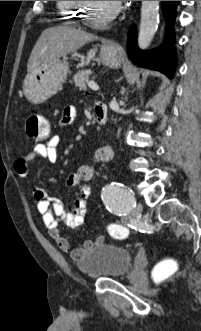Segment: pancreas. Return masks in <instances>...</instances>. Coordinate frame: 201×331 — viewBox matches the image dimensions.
I'll use <instances>...</instances> for the list:
<instances>
[{
    "label": "pancreas",
    "instance_id": "cf45deb5",
    "mask_svg": "<svg viewBox=\"0 0 201 331\" xmlns=\"http://www.w3.org/2000/svg\"><path fill=\"white\" fill-rule=\"evenodd\" d=\"M91 74V70H81L76 73L73 77V82L76 87L79 89H85L86 83L89 81V76Z\"/></svg>",
    "mask_w": 201,
    "mask_h": 331
}]
</instances>
